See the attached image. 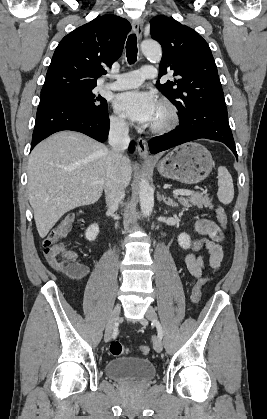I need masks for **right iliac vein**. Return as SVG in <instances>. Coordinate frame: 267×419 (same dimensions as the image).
Here are the masks:
<instances>
[{"label":"right iliac vein","mask_w":267,"mask_h":419,"mask_svg":"<svg viewBox=\"0 0 267 419\" xmlns=\"http://www.w3.org/2000/svg\"><path fill=\"white\" fill-rule=\"evenodd\" d=\"M120 311H121V307L119 304H117L114 307L113 311L111 312V315L109 317V320L105 329V334H104L105 342H109L112 337L113 329L119 321Z\"/></svg>","instance_id":"63e3f726"}]
</instances>
